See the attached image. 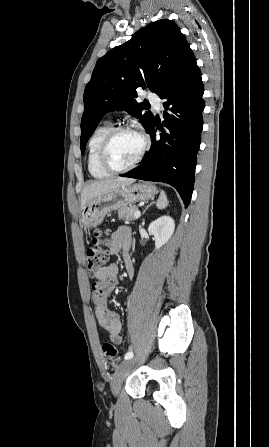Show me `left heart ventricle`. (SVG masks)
<instances>
[{"instance_id":"1","label":"left heart ventricle","mask_w":269,"mask_h":447,"mask_svg":"<svg viewBox=\"0 0 269 447\" xmlns=\"http://www.w3.org/2000/svg\"><path fill=\"white\" fill-rule=\"evenodd\" d=\"M144 145L141 133L136 130H126L118 133L109 150V158L113 165L124 167L131 164Z\"/></svg>"}]
</instances>
